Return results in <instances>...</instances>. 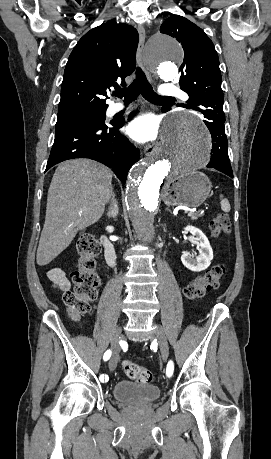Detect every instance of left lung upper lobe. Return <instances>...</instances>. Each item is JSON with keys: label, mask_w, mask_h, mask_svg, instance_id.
<instances>
[{"label": "left lung upper lobe", "mask_w": 271, "mask_h": 459, "mask_svg": "<svg viewBox=\"0 0 271 459\" xmlns=\"http://www.w3.org/2000/svg\"><path fill=\"white\" fill-rule=\"evenodd\" d=\"M160 32L174 37L183 47L179 83L189 95V106L203 115L225 117L219 58L212 41L201 28L179 15L167 18Z\"/></svg>", "instance_id": "5c2ea615"}]
</instances>
